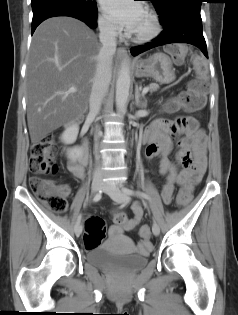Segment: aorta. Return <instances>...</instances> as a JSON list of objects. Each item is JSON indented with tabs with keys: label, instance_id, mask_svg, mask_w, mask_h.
Here are the masks:
<instances>
[{
	"label": "aorta",
	"instance_id": "1",
	"mask_svg": "<svg viewBox=\"0 0 238 315\" xmlns=\"http://www.w3.org/2000/svg\"><path fill=\"white\" fill-rule=\"evenodd\" d=\"M130 68L127 60L121 63L116 81V107L119 113L126 112L130 89Z\"/></svg>",
	"mask_w": 238,
	"mask_h": 315
}]
</instances>
